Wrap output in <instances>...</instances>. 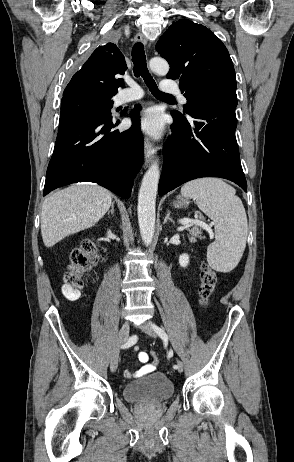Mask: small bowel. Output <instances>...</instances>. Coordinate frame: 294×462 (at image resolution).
I'll list each match as a JSON object with an SVG mask.
<instances>
[{
  "instance_id": "c3829d8e",
  "label": "small bowel",
  "mask_w": 294,
  "mask_h": 462,
  "mask_svg": "<svg viewBox=\"0 0 294 462\" xmlns=\"http://www.w3.org/2000/svg\"><path fill=\"white\" fill-rule=\"evenodd\" d=\"M138 360L142 365L135 372L125 371L124 374L127 378L140 377L155 371L157 364L149 362V355L146 352H139Z\"/></svg>"
}]
</instances>
